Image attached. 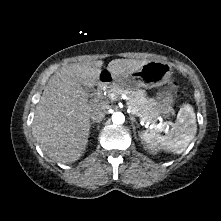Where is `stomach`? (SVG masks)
Instances as JSON below:
<instances>
[{
  "label": "stomach",
  "mask_w": 221,
  "mask_h": 221,
  "mask_svg": "<svg viewBox=\"0 0 221 221\" xmlns=\"http://www.w3.org/2000/svg\"><path fill=\"white\" fill-rule=\"evenodd\" d=\"M172 74V67L169 63L148 61L141 69L124 78L120 85L128 89L161 87L171 83ZM153 101L155 102L154 108L158 115L169 113L172 110L173 97L169 92L160 94Z\"/></svg>",
  "instance_id": "obj_1"
}]
</instances>
